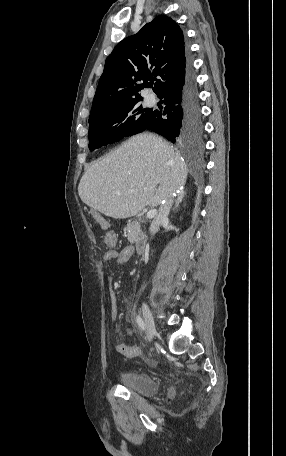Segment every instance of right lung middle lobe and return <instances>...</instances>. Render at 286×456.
I'll use <instances>...</instances> for the list:
<instances>
[{"mask_svg": "<svg viewBox=\"0 0 286 456\" xmlns=\"http://www.w3.org/2000/svg\"><path fill=\"white\" fill-rule=\"evenodd\" d=\"M154 111L144 108L139 102L108 109L89 122V149L91 151L122 139L125 136L147 129ZM200 124L187 126L188 132L196 135L181 140V143L198 140Z\"/></svg>", "mask_w": 286, "mask_h": 456, "instance_id": "right-lung-middle-lobe-1", "label": "right lung middle lobe"}]
</instances>
